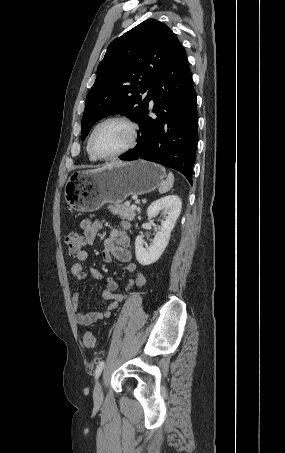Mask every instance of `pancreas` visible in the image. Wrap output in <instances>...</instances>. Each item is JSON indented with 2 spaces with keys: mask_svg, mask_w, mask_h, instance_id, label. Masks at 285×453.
<instances>
[{
  "mask_svg": "<svg viewBox=\"0 0 285 453\" xmlns=\"http://www.w3.org/2000/svg\"><path fill=\"white\" fill-rule=\"evenodd\" d=\"M108 209L113 215H117L121 219L132 221L136 216V209H132L128 203L109 205Z\"/></svg>",
  "mask_w": 285,
  "mask_h": 453,
  "instance_id": "cf45deb5",
  "label": "pancreas"
}]
</instances>
